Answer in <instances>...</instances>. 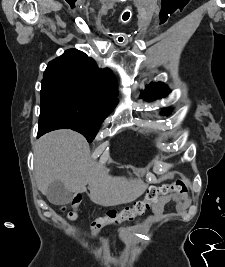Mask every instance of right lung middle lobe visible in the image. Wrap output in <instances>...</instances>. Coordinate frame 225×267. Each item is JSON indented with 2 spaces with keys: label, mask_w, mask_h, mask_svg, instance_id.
I'll return each instance as SVG.
<instances>
[{
  "label": "right lung middle lobe",
  "mask_w": 225,
  "mask_h": 267,
  "mask_svg": "<svg viewBox=\"0 0 225 267\" xmlns=\"http://www.w3.org/2000/svg\"><path fill=\"white\" fill-rule=\"evenodd\" d=\"M40 113L61 119L69 129L91 142L111 107L98 101L87 89L62 81L42 82Z\"/></svg>",
  "instance_id": "dd1d6c3e"
}]
</instances>
